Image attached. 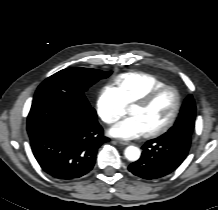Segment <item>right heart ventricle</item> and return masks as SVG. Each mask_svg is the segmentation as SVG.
<instances>
[{
  "mask_svg": "<svg viewBox=\"0 0 218 210\" xmlns=\"http://www.w3.org/2000/svg\"><path fill=\"white\" fill-rule=\"evenodd\" d=\"M163 85L165 83L155 75L145 72H128L118 75L111 87L118 92L126 105H130Z\"/></svg>",
  "mask_w": 218,
  "mask_h": 210,
  "instance_id": "1",
  "label": "right heart ventricle"
}]
</instances>
